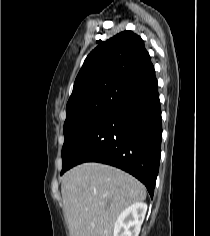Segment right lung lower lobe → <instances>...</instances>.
I'll return each mask as SVG.
<instances>
[{
  "mask_svg": "<svg viewBox=\"0 0 210 236\" xmlns=\"http://www.w3.org/2000/svg\"><path fill=\"white\" fill-rule=\"evenodd\" d=\"M155 72L128 88L85 136L61 175L83 162L118 167L139 179L153 197L162 125Z\"/></svg>",
  "mask_w": 210,
  "mask_h": 236,
  "instance_id": "right-lung-lower-lobe-1",
  "label": "right lung lower lobe"
}]
</instances>
